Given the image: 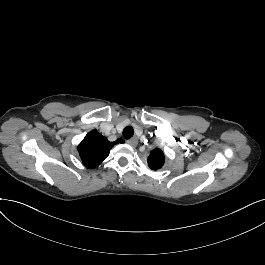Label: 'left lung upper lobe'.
Instances as JSON below:
<instances>
[{"mask_svg": "<svg viewBox=\"0 0 265 265\" xmlns=\"http://www.w3.org/2000/svg\"><path fill=\"white\" fill-rule=\"evenodd\" d=\"M148 166L152 170L159 169L163 166L164 164V154L160 149H154L151 154L149 155L148 159Z\"/></svg>", "mask_w": 265, "mask_h": 265, "instance_id": "obj_1", "label": "left lung upper lobe"}]
</instances>
